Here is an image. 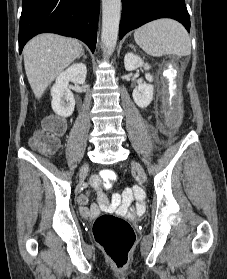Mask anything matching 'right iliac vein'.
<instances>
[{"label": "right iliac vein", "instance_id": "obj_1", "mask_svg": "<svg viewBox=\"0 0 227 279\" xmlns=\"http://www.w3.org/2000/svg\"><path fill=\"white\" fill-rule=\"evenodd\" d=\"M87 172H88V163H85L80 172V176H79L80 182H82Z\"/></svg>", "mask_w": 227, "mask_h": 279}]
</instances>
